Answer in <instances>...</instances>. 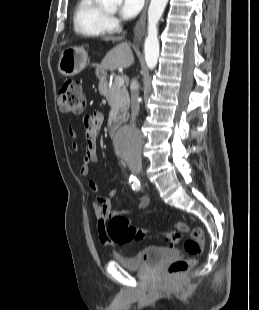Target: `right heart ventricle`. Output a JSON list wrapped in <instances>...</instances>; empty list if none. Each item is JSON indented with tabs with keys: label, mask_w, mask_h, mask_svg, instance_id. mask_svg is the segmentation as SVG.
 I'll return each mask as SVG.
<instances>
[{
	"label": "right heart ventricle",
	"mask_w": 259,
	"mask_h": 310,
	"mask_svg": "<svg viewBox=\"0 0 259 310\" xmlns=\"http://www.w3.org/2000/svg\"><path fill=\"white\" fill-rule=\"evenodd\" d=\"M76 32L86 36H101L110 31L108 15L97 0H78L74 12Z\"/></svg>",
	"instance_id": "e07e8e85"
}]
</instances>
